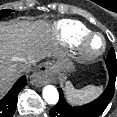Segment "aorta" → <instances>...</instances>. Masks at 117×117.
Returning a JSON list of instances; mask_svg holds the SVG:
<instances>
[{"instance_id":"762f6f07","label":"aorta","mask_w":117,"mask_h":117,"mask_svg":"<svg viewBox=\"0 0 117 117\" xmlns=\"http://www.w3.org/2000/svg\"><path fill=\"white\" fill-rule=\"evenodd\" d=\"M42 95L44 100L50 105H55L59 100L58 90L53 85H46L43 88Z\"/></svg>"}]
</instances>
